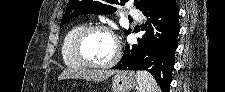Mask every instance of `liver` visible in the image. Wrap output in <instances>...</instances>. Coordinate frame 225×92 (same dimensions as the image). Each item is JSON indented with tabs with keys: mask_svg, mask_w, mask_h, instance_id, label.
<instances>
[{
	"mask_svg": "<svg viewBox=\"0 0 225 92\" xmlns=\"http://www.w3.org/2000/svg\"><path fill=\"white\" fill-rule=\"evenodd\" d=\"M116 71L114 70H98V69H66L59 75L58 80L63 79H84L87 81L101 82L108 79Z\"/></svg>",
	"mask_w": 225,
	"mask_h": 92,
	"instance_id": "6515ba94",
	"label": "liver"
}]
</instances>
